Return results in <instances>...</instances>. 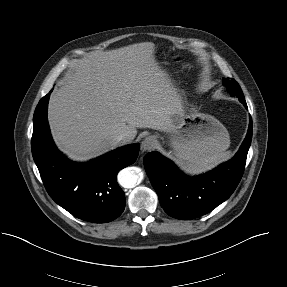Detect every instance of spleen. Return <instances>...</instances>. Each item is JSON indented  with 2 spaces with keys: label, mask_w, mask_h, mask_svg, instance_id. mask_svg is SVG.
Wrapping results in <instances>:
<instances>
[{
  "label": "spleen",
  "mask_w": 287,
  "mask_h": 287,
  "mask_svg": "<svg viewBox=\"0 0 287 287\" xmlns=\"http://www.w3.org/2000/svg\"><path fill=\"white\" fill-rule=\"evenodd\" d=\"M228 157L229 153L225 152L197 160L196 162L188 166V171L194 174L206 172L208 170H211L221 162L225 161L226 159H228Z\"/></svg>",
  "instance_id": "3e777b00"
}]
</instances>
